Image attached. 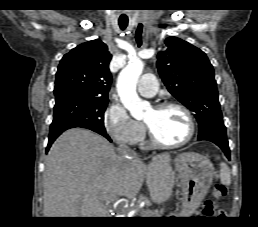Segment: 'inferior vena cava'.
<instances>
[{
	"mask_svg": "<svg viewBox=\"0 0 258 227\" xmlns=\"http://www.w3.org/2000/svg\"><path fill=\"white\" fill-rule=\"evenodd\" d=\"M118 153L120 156L127 158V157H132L135 158L137 155L136 153L131 150L127 145L121 144L118 147Z\"/></svg>",
	"mask_w": 258,
	"mask_h": 227,
	"instance_id": "1",
	"label": "inferior vena cava"
}]
</instances>
